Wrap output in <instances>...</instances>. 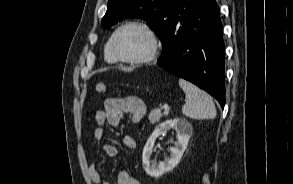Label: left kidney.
Listing matches in <instances>:
<instances>
[{
    "mask_svg": "<svg viewBox=\"0 0 293 184\" xmlns=\"http://www.w3.org/2000/svg\"><path fill=\"white\" fill-rule=\"evenodd\" d=\"M170 129H174L177 133L175 147L170 149L171 154L169 158L165 159L164 162L155 164L150 160L155 141L160 135L165 134ZM192 133V125L182 118L171 119L161 123L153 131L143 149L142 161L146 173L151 177L157 178L173 170L180 162Z\"/></svg>",
    "mask_w": 293,
    "mask_h": 184,
    "instance_id": "5707ae66",
    "label": "left kidney"
}]
</instances>
